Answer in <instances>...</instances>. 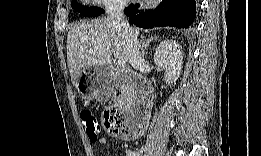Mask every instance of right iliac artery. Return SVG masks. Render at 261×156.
<instances>
[{"instance_id":"obj_1","label":"right iliac artery","mask_w":261,"mask_h":156,"mask_svg":"<svg viewBox=\"0 0 261 156\" xmlns=\"http://www.w3.org/2000/svg\"><path fill=\"white\" fill-rule=\"evenodd\" d=\"M128 154L129 155H138L136 152H131V151H129Z\"/></svg>"}]
</instances>
